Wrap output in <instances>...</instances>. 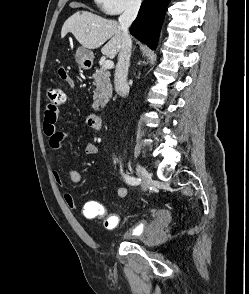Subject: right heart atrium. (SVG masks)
<instances>
[{"mask_svg":"<svg viewBox=\"0 0 249 294\" xmlns=\"http://www.w3.org/2000/svg\"><path fill=\"white\" fill-rule=\"evenodd\" d=\"M100 9L108 15L133 12L140 8L142 0H95Z\"/></svg>","mask_w":249,"mask_h":294,"instance_id":"obj_1","label":"right heart atrium"}]
</instances>
